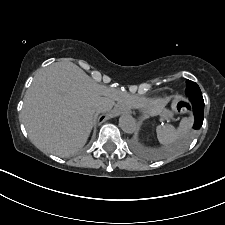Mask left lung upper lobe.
I'll return each instance as SVG.
<instances>
[{"label": "left lung upper lobe", "mask_w": 225, "mask_h": 225, "mask_svg": "<svg viewBox=\"0 0 225 225\" xmlns=\"http://www.w3.org/2000/svg\"><path fill=\"white\" fill-rule=\"evenodd\" d=\"M186 95L189 97V99L192 98L203 99L199 86L195 82L190 80H187Z\"/></svg>", "instance_id": "1"}]
</instances>
